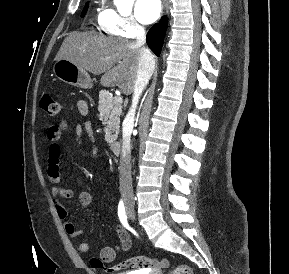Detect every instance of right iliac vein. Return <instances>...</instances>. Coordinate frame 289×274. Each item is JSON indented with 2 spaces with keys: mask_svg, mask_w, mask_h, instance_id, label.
Returning a JSON list of instances; mask_svg holds the SVG:
<instances>
[{
  "mask_svg": "<svg viewBox=\"0 0 289 274\" xmlns=\"http://www.w3.org/2000/svg\"><path fill=\"white\" fill-rule=\"evenodd\" d=\"M126 211H127L128 216H129L131 219H135V213H134L133 207H132V205L129 203V201H126Z\"/></svg>",
  "mask_w": 289,
  "mask_h": 274,
  "instance_id": "obj_1",
  "label": "right iliac vein"
}]
</instances>
